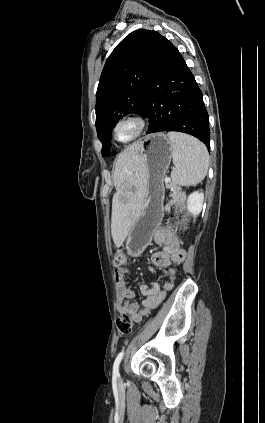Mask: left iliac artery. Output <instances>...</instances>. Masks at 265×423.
<instances>
[{
	"label": "left iliac artery",
	"instance_id": "44dca946",
	"mask_svg": "<svg viewBox=\"0 0 265 423\" xmlns=\"http://www.w3.org/2000/svg\"><path fill=\"white\" fill-rule=\"evenodd\" d=\"M123 356H124V351H121L117 355V357H116V359L114 361V364H113V376H115V377H119V365H120V362H121Z\"/></svg>",
	"mask_w": 265,
	"mask_h": 423
}]
</instances>
